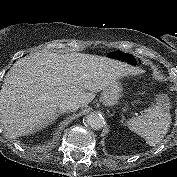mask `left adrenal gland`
Segmentation results:
<instances>
[{
	"mask_svg": "<svg viewBox=\"0 0 177 177\" xmlns=\"http://www.w3.org/2000/svg\"><path fill=\"white\" fill-rule=\"evenodd\" d=\"M121 123H124V116L122 115V120H121Z\"/></svg>",
	"mask_w": 177,
	"mask_h": 177,
	"instance_id": "obj_1",
	"label": "left adrenal gland"
}]
</instances>
